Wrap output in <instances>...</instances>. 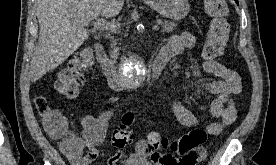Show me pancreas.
I'll return each mask as SVG.
<instances>
[{
    "label": "pancreas",
    "instance_id": "cf45deb5",
    "mask_svg": "<svg viewBox=\"0 0 276 165\" xmlns=\"http://www.w3.org/2000/svg\"><path fill=\"white\" fill-rule=\"evenodd\" d=\"M161 25L163 27L162 29V32H166V33H169L171 31H173L174 27H176V24L173 23V22H167V21H164V22H161ZM112 50H111V57L112 59H117L119 53V48L116 47V43H114L112 46H111Z\"/></svg>",
    "mask_w": 276,
    "mask_h": 165
}]
</instances>
